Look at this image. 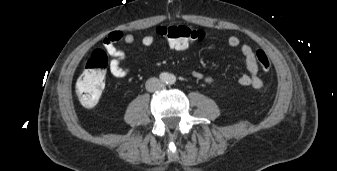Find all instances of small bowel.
<instances>
[{"mask_svg": "<svg viewBox=\"0 0 337 171\" xmlns=\"http://www.w3.org/2000/svg\"><path fill=\"white\" fill-rule=\"evenodd\" d=\"M135 41L136 37L133 34L123 33L121 31H112L103 38L102 45L110 57L108 69L113 77L125 78L130 73L129 68L122 64L125 59V52L120 49L117 44L123 42L131 45L135 43ZM154 43L155 39L152 35H145L141 38V44L144 47H151ZM227 43L233 48L241 45L240 39L236 36H230ZM240 50L247 69V73L239 78L240 85L260 89L263 86V81L258 75V64L253 48L248 44H242ZM191 74L194 79L205 84L210 85L214 83L213 78L199 70H193Z\"/></svg>", "mask_w": 337, "mask_h": 171, "instance_id": "1", "label": "small bowel"}]
</instances>
